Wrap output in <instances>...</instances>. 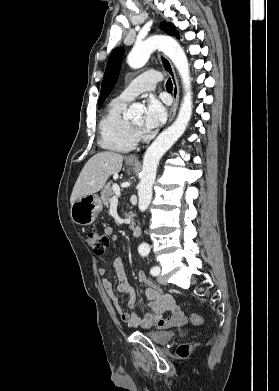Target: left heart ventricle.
Listing matches in <instances>:
<instances>
[{
	"label": "left heart ventricle",
	"instance_id": "left-heart-ventricle-1",
	"mask_svg": "<svg viewBox=\"0 0 279 391\" xmlns=\"http://www.w3.org/2000/svg\"><path fill=\"white\" fill-rule=\"evenodd\" d=\"M132 122L136 125H141L143 122L142 116L137 117L136 119H133Z\"/></svg>",
	"mask_w": 279,
	"mask_h": 391
}]
</instances>
